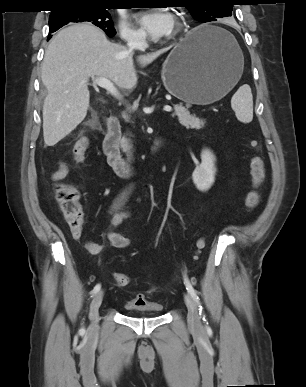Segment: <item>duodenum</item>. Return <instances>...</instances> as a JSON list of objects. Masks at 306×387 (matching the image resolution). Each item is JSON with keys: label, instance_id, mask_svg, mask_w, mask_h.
Masks as SVG:
<instances>
[{"label": "duodenum", "instance_id": "1", "mask_svg": "<svg viewBox=\"0 0 306 387\" xmlns=\"http://www.w3.org/2000/svg\"><path fill=\"white\" fill-rule=\"evenodd\" d=\"M121 135V126L117 117L112 116L108 119L107 132L103 140V152L106 156L109 166L114 172L123 178L134 175L135 169L130 159L124 157L120 151L119 140ZM162 141L157 140L152 149L151 155L154 157L161 149Z\"/></svg>", "mask_w": 306, "mask_h": 387}]
</instances>
